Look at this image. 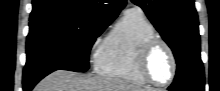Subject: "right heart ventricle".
I'll use <instances>...</instances> for the list:
<instances>
[{
    "instance_id": "obj_1",
    "label": "right heart ventricle",
    "mask_w": 220,
    "mask_h": 91,
    "mask_svg": "<svg viewBox=\"0 0 220 91\" xmlns=\"http://www.w3.org/2000/svg\"><path fill=\"white\" fill-rule=\"evenodd\" d=\"M156 37L153 24L139 9L126 11L110 31L95 57L96 71L105 77L146 85L137 69V55L146 41Z\"/></svg>"
}]
</instances>
